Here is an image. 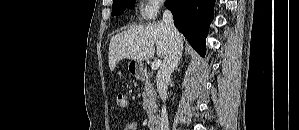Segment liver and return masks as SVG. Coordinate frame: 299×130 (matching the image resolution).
<instances>
[{
    "label": "liver",
    "mask_w": 299,
    "mask_h": 130,
    "mask_svg": "<svg viewBox=\"0 0 299 130\" xmlns=\"http://www.w3.org/2000/svg\"><path fill=\"white\" fill-rule=\"evenodd\" d=\"M155 45L159 58H165L170 44L164 23H153L148 26H137L116 34L110 40L108 61L113 71L122 59L136 61L147 60L155 55Z\"/></svg>",
    "instance_id": "1"
}]
</instances>
